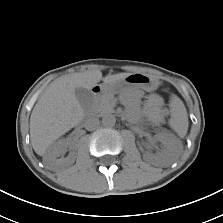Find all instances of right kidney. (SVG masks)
<instances>
[{"instance_id": "obj_1", "label": "right kidney", "mask_w": 223, "mask_h": 223, "mask_svg": "<svg viewBox=\"0 0 223 223\" xmlns=\"http://www.w3.org/2000/svg\"><path fill=\"white\" fill-rule=\"evenodd\" d=\"M68 144L69 141L67 139H61L52 144L43 157L44 165L50 169L60 165H72L74 163L73 155H69L66 158H58Z\"/></svg>"}]
</instances>
